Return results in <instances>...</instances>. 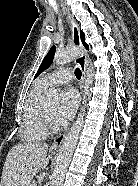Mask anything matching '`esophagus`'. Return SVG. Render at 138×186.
<instances>
[{"label": "esophagus", "instance_id": "34e87169", "mask_svg": "<svg viewBox=\"0 0 138 186\" xmlns=\"http://www.w3.org/2000/svg\"><path fill=\"white\" fill-rule=\"evenodd\" d=\"M62 9L64 14L67 16V20L70 24L71 27V33H72V40L74 44L80 49V55L76 58L75 62L76 64L80 67L82 70V78L80 81V89L81 91L83 90L84 82H85V77H86V68H87V54L86 51L83 48L81 38H80V33H79V28L77 23L74 21L73 17L69 13V11L66 9L64 5H62ZM66 133H63L59 136H57L53 143H52V148H59L61 144L63 143Z\"/></svg>", "mask_w": 138, "mask_h": 186}]
</instances>
